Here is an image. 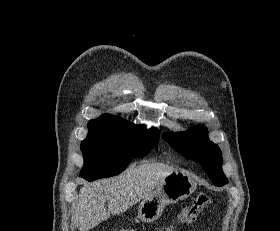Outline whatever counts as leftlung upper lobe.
<instances>
[{"instance_id": "5c2ea615", "label": "left lung upper lobe", "mask_w": 280, "mask_h": 231, "mask_svg": "<svg viewBox=\"0 0 280 231\" xmlns=\"http://www.w3.org/2000/svg\"><path fill=\"white\" fill-rule=\"evenodd\" d=\"M162 137L183 156L199 162L215 186L228 182L221 168V151L208 139L205 127H195L187 132H168Z\"/></svg>"}]
</instances>
